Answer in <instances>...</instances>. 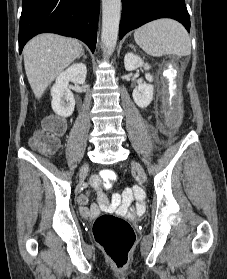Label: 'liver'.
Returning <instances> with one entry per match:
<instances>
[{
  "instance_id": "liver-1",
  "label": "liver",
  "mask_w": 227,
  "mask_h": 279,
  "mask_svg": "<svg viewBox=\"0 0 227 279\" xmlns=\"http://www.w3.org/2000/svg\"><path fill=\"white\" fill-rule=\"evenodd\" d=\"M83 48L76 39L41 34L23 49L24 67L30 87L40 99L60 72L80 56Z\"/></svg>"
}]
</instances>
